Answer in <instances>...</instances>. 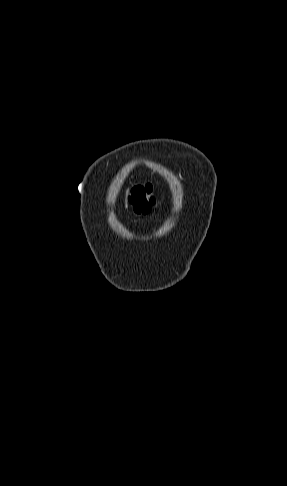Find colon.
I'll list each match as a JSON object with an SVG mask.
<instances>
[{
  "instance_id": "colon-1",
  "label": "colon",
  "mask_w": 287,
  "mask_h": 486,
  "mask_svg": "<svg viewBox=\"0 0 287 486\" xmlns=\"http://www.w3.org/2000/svg\"><path fill=\"white\" fill-rule=\"evenodd\" d=\"M129 201L136 213L147 214L155 203L153 185L147 183L135 186L130 192Z\"/></svg>"
}]
</instances>
